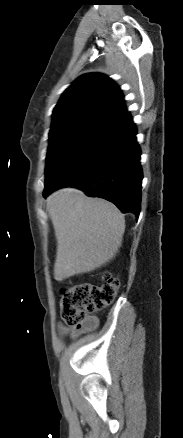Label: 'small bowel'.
I'll use <instances>...</instances> for the list:
<instances>
[{
  "mask_svg": "<svg viewBox=\"0 0 183 438\" xmlns=\"http://www.w3.org/2000/svg\"><path fill=\"white\" fill-rule=\"evenodd\" d=\"M97 324V318L92 316L89 317L87 319V321L85 322L84 325L76 328V329H68L67 327H65L64 325H59V329L61 332H70L72 335H77L78 333H80L83 330L89 329L94 327Z\"/></svg>",
  "mask_w": 183,
  "mask_h": 438,
  "instance_id": "obj_1",
  "label": "small bowel"
}]
</instances>
